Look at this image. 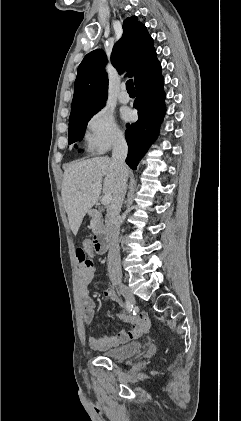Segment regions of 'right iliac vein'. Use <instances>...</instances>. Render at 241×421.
<instances>
[{"label":"right iliac vein","mask_w":241,"mask_h":421,"mask_svg":"<svg viewBox=\"0 0 241 421\" xmlns=\"http://www.w3.org/2000/svg\"><path fill=\"white\" fill-rule=\"evenodd\" d=\"M114 285L120 290L121 294L130 304H135V297L133 293L121 280H115Z\"/></svg>","instance_id":"1"}]
</instances>
